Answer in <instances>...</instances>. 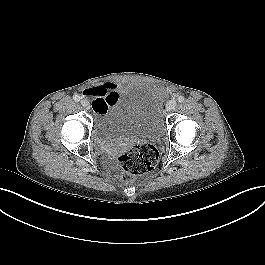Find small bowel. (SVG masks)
Wrapping results in <instances>:
<instances>
[{"label": "small bowel", "mask_w": 265, "mask_h": 265, "mask_svg": "<svg viewBox=\"0 0 265 265\" xmlns=\"http://www.w3.org/2000/svg\"><path fill=\"white\" fill-rule=\"evenodd\" d=\"M123 87L114 82H105L98 86H89L84 89L83 94L93 99V109L98 114H104L121 94Z\"/></svg>", "instance_id": "small-bowel-1"}]
</instances>
